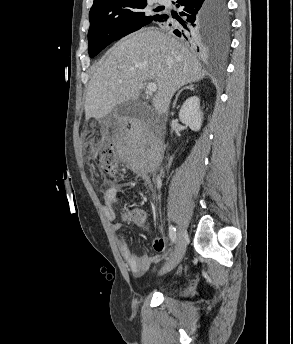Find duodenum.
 <instances>
[{"instance_id": "duodenum-1", "label": "duodenum", "mask_w": 293, "mask_h": 344, "mask_svg": "<svg viewBox=\"0 0 293 344\" xmlns=\"http://www.w3.org/2000/svg\"><path fill=\"white\" fill-rule=\"evenodd\" d=\"M155 149H156V148H152V152L154 153V157H155V158H154V161L157 160V158H156V157H157V154H156L157 152H155Z\"/></svg>"}]
</instances>
